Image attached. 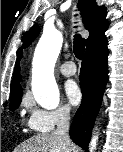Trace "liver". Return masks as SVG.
I'll return each instance as SVG.
<instances>
[{
  "mask_svg": "<svg viewBox=\"0 0 123 152\" xmlns=\"http://www.w3.org/2000/svg\"><path fill=\"white\" fill-rule=\"evenodd\" d=\"M70 141L66 143L54 133L38 134L23 142L14 152H76Z\"/></svg>",
  "mask_w": 123,
  "mask_h": 152,
  "instance_id": "obj_1",
  "label": "liver"
}]
</instances>
